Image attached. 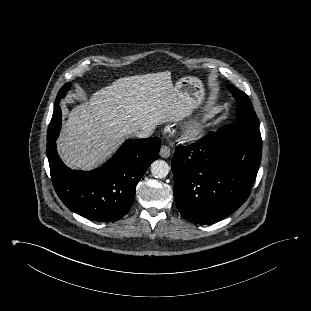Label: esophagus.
Returning a JSON list of instances; mask_svg holds the SVG:
<instances>
[{"mask_svg":"<svg viewBox=\"0 0 311 311\" xmlns=\"http://www.w3.org/2000/svg\"><path fill=\"white\" fill-rule=\"evenodd\" d=\"M171 155V151L170 148L166 145H163L160 149V156L162 158H168Z\"/></svg>","mask_w":311,"mask_h":311,"instance_id":"1","label":"esophagus"}]
</instances>
